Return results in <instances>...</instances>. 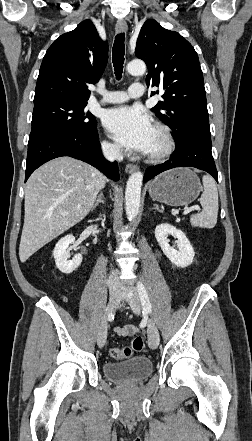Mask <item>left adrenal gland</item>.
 <instances>
[{"mask_svg": "<svg viewBox=\"0 0 252 441\" xmlns=\"http://www.w3.org/2000/svg\"><path fill=\"white\" fill-rule=\"evenodd\" d=\"M154 209H155V210H158V211L161 212V213L163 212L162 210H160V208L158 207V205H154Z\"/></svg>", "mask_w": 252, "mask_h": 441, "instance_id": "obj_1", "label": "left adrenal gland"}]
</instances>
